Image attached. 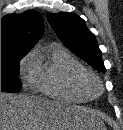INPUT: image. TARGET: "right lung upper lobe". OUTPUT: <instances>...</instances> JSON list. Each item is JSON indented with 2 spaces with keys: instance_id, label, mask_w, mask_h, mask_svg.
<instances>
[{
  "instance_id": "obj_1",
  "label": "right lung upper lobe",
  "mask_w": 123,
  "mask_h": 130,
  "mask_svg": "<svg viewBox=\"0 0 123 130\" xmlns=\"http://www.w3.org/2000/svg\"><path fill=\"white\" fill-rule=\"evenodd\" d=\"M44 33L41 14L27 10L1 19V56L28 53Z\"/></svg>"
}]
</instances>
